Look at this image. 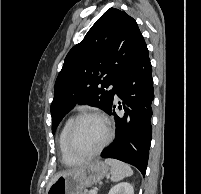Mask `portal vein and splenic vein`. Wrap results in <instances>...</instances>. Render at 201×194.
<instances>
[{
    "label": "portal vein and splenic vein",
    "instance_id": "18ae733b",
    "mask_svg": "<svg viewBox=\"0 0 201 194\" xmlns=\"http://www.w3.org/2000/svg\"><path fill=\"white\" fill-rule=\"evenodd\" d=\"M97 192H98L97 189L90 190V194H97Z\"/></svg>",
    "mask_w": 201,
    "mask_h": 194
}]
</instances>
